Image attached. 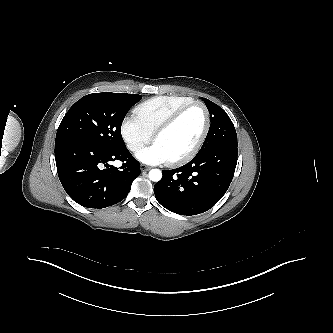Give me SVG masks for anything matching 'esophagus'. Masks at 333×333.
<instances>
[{"instance_id":"1","label":"esophagus","mask_w":333,"mask_h":333,"mask_svg":"<svg viewBox=\"0 0 333 333\" xmlns=\"http://www.w3.org/2000/svg\"><path fill=\"white\" fill-rule=\"evenodd\" d=\"M150 170V167L149 166H146V165H141V171H149Z\"/></svg>"}]
</instances>
